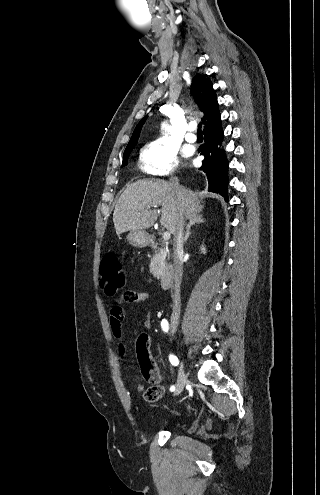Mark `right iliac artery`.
I'll return each instance as SVG.
<instances>
[{
	"label": "right iliac artery",
	"instance_id": "right-iliac-artery-1",
	"mask_svg": "<svg viewBox=\"0 0 320 495\" xmlns=\"http://www.w3.org/2000/svg\"><path fill=\"white\" fill-rule=\"evenodd\" d=\"M161 328L164 332H168V329H169V323L166 319H162L161 321ZM169 360L171 362V364L173 366H177L179 364V360L178 358L174 355V354H170L169 356ZM175 390V386H171L170 387V391H174Z\"/></svg>",
	"mask_w": 320,
	"mask_h": 495
}]
</instances>
